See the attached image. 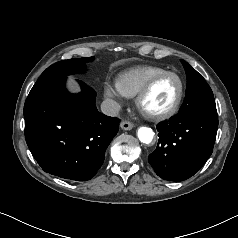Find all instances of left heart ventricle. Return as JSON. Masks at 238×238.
Returning <instances> with one entry per match:
<instances>
[{"label":"left heart ventricle","mask_w":238,"mask_h":238,"mask_svg":"<svg viewBox=\"0 0 238 238\" xmlns=\"http://www.w3.org/2000/svg\"><path fill=\"white\" fill-rule=\"evenodd\" d=\"M179 81L174 76L160 79L145 98L143 106L149 112H160L169 108L179 92Z\"/></svg>","instance_id":"obj_1"}]
</instances>
